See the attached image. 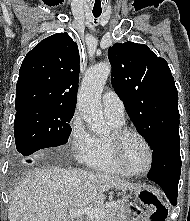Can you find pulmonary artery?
I'll use <instances>...</instances> for the list:
<instances>
[{"instance_id": "1", "label": "pulmonary artery", "mask_w": 190, "mask_h": 221, "mask_svg": "<svg viewBox=\"0 0 190 221\" xmlns=\"http://www.w3.org/2000/svg\"><path fill=\"white\" fill-rule=\"evenodd\" d=\"M102 107L108 119L115 122H125V107L121 98L112 90L102 96Z\"/></svg>"}]
</instances>
